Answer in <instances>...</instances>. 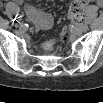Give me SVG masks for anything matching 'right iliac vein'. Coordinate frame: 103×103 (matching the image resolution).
<instances>
[{
  "mask_svg": "<svg viewBox=\"0 0 103 103\" xmlns=\"http://www.w3.org/2000/svg\"><path fill=\"white\" fill-rule=\"evenodd\" d=\"M21 25H22V22L20 20L14 22L15 27H20Z\"/></svg>",
  "mask_w": 103,
  "mask_h": 103,
  "instance_id": "obj_1",
  "label": "right iliac vein"
}]
</instances>
